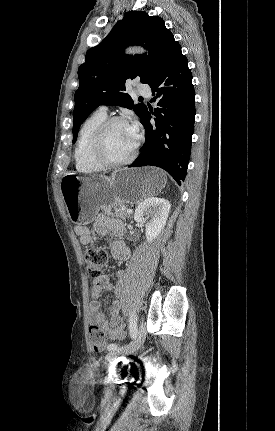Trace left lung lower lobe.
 I'll return each instance as SVG.
<instances>
[{"label":"left lung lower lobe","mask_w":275,"mask_h":431,"mask_svg":"<svg viewBox=\"0 0 275 431\" xmlns=\"http://www.w3.org/2000/svg\"><path fill=\"white\" fill-rule=\"evenodd\" d=\"M157 102L141 123L146 136L141 153L129 167L156 166L181 185L187 174L195 122V91L188 60L177 45L163 70L149 84ZM155 115V125L150 123Z\"/></svg>","instance_id":"obj_1"}]
</instances>
